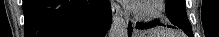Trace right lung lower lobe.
<instances>
[{"mask_svg":"<svg viewBox=\"0 0 219 37\" xmlns=\"http://www.w3.org/2000/svg\"><path fill=\"white\" fill-rule=\"evenodd\" d=\"M25 37H104L111 25L107 0H23Z\"/></svg>","mask_w":219,"mask_h":37,"instance_id":"1","label":"right lung lower lobe"}]
</instances>
